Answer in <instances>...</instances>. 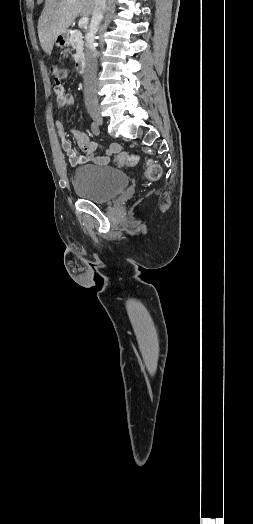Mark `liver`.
Returning <instances> with one entry per match:
<instances>
[{"mask_svg": "<svg viewBox=\"0 0 253 524\" xmlns=\"http://www.w3.org/2000/svg\"><path fill=\"white\" fill-rule=\"evenodd\" d=\"M95 7V0H46L38 21V36L44 52L51 54L57 36L81 14L90 16Z\"/></svg>", "mask_w": 253, "mask_h": 524, "instance_id": "6515ba94", "label": "liver"}]
</instances>
